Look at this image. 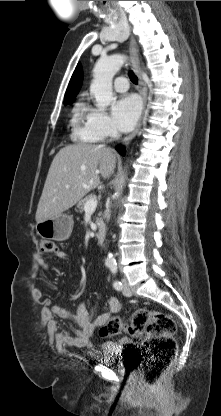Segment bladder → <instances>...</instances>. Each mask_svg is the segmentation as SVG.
<instances>
[{"label": "bladder", "mask_w": 221, "mask_h": 416, "mask_svg": "<svg viewBox=\"0 0 221 416\" xmlns=\"http://www.w3.org/2000/svg\"><path fill=\"white\" fill-rule=\"evenodd\" d=\"M113 358H114L113 352L108 351V349L104 346L103 351H102L101 362L105 365L114 366L116 369L125 368L124 365H115Z\"/></svg>", "instance_id": "1"}]
</instances>
